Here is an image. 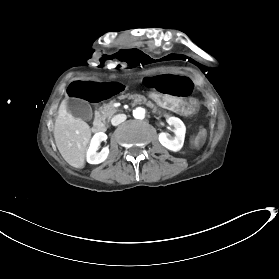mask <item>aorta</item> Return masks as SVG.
<instances>
[{
	"label": "aorta",
	"instance_id": "obj_1",
	"mask_svg": "<svg viewBox=\"0 0 279 279\" xmlns=\"http://www.w3.org/2000/svg\"><path fill=\"white\" fill-rule=\"evenodd\" d=\"M133 116L136 119H143L145 117V110L141 107H138L133 111Z\"/></svg>",
	"mask_w": 279,
	"mask_h": 279
}]
</instances>
